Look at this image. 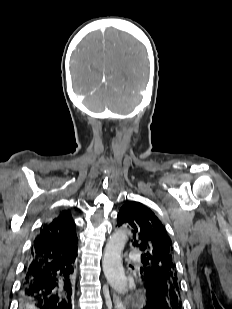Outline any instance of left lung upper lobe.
<instances>
[{"mask_svg": "<svg viewBox=\"0 0 232 309\" xmlns=\"http://www.w3.org/2000/svg\"><path fill=\"white\" fill-rule=\"evenodd\" d=\"M117 225L132 230L131 244L142 253V278L158 286L169 300L182 302L172 241L157 216L139 202H128L118 213Z\"/></svg>", "mask_w": 232, "mask_h": 309, "instance_id": "left-lung-upper-lobe-1", "label": "left lung upper lobe"}]
</instances>
